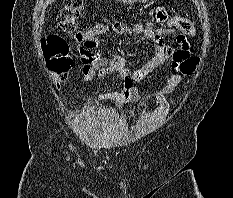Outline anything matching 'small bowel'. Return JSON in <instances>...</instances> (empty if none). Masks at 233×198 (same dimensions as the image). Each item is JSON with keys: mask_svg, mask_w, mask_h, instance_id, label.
I'll list each match as a JSON object with an SVG mask.
<instances>
[{"mask_svg": "<svg viewBox=\"0 0 233 198\" xmlns=\"http://www.w3.org/2000/svg\"><path fill=\"white\" fill-rule=\"evenodd\" d=\"M167 16L163 10L156 12V20L158 23L166 21ZM111 30L119 35L127 34L134 36H143L153 47L152 57L140 68L131 69L128 67L127 59L123 55H115L111 58L104 57L100 53H91L90 50L96 48L80 47V57L84 63L83 74L86 80H92L99 77H105L111 73H118L122 77V89L115 92L95 93L96 98L102 101H113L114 106H120L125 103H134L139 100V94L136 84L150 75L158 72L165 66H171L176 70V55L178 53H189L184 36L178 35L177 41L182 45L181 49L175 50L172 46L164 41V37L169 34L181 32L179 29L173 28H149L143 24H135L133 26L124 25L120 21H115L111 25ZM177 71V70H176ZM181 74L178 71L172 74L167 84L158 92L151 95L150 98L158 100L163 96L170 94L181 82Z\"/></svg>", "mask_w": 233, "mask_h": 198, "instance_id": "1", "label": "small bowel"}]
</instances>
